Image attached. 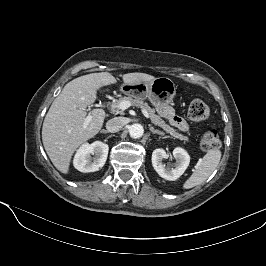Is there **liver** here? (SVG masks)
Returning a JSON list of instances; mask_svg holds the SVG:
<instances>
[{"label": "liver", "instance_id": "liver-1", "mask_svg": "<svg viewBox=\"0 0 266 266\" xmlns=\"http://www.w3.org/2000/svg\"><path fill=\"white\" fill-rule=\"evenodd\" d=\"M122 79L129 84L150 82L155 77L146 73H128ZM115 83L116 79L109 72L87 74L67 83L54 99L43 122L42 141L47 155L60 172H69L77 148L101 130L105 113L100 109L89 113L92 118L83 128L86 108L95 102L101 87Z\"/></svg>", "mask_w": 266, "mask_h": 266}]
</instances>
